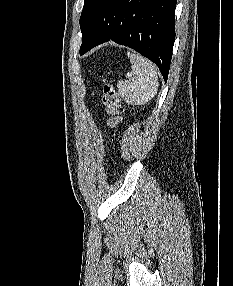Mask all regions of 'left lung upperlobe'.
<instances>
[{
	"label": "left lung upper lobe",
	"mask_w": 233,
	"mask_h": 286,
	"mask_svg": "<svg viewBox=\"0 0 233 286\" xmlns=\"http://www.w3.org/2000/svg\"><path fill=\"white\" fill-rule=\"evenodd\" d=\"M95 1L96 0H84V6H83V10H82L81 17H80L81 31L87 22L88 15Z\"/></svg>",
	"instance_id": "obj_1"
}]
</instances>
